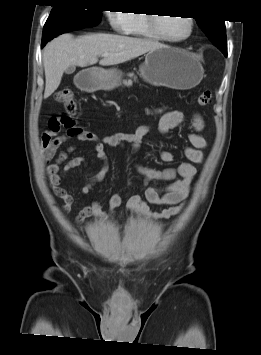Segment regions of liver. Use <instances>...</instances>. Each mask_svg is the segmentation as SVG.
Masks as SVG:
<instances>
[{
    "label": "liver",
    "instance_id": "liver-1",
    "mask_svg": "<svg viewBox=\"0 0 261 355\" xmlns=\"http://www.w3.org/2000/svg\"><path fill=\"white\" fill-rule=\"evenodd\" d=\"M163 46L157 41L124 35L97 33L78 38L71 34L60 35L48 43L43 51L46 81L44 98L57 90L69 66L94 65L103 53H109V56L103 57L99 61L100 65H117Z\"/></svg>",
    "mask_w": 261,
    "mask_h": 355
}]
</instances>
